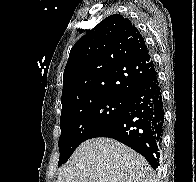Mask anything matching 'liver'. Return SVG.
<instances>
[{
	"instance_id": "6515ba94",
	"label": "liver",
	"mask_w": 196,
	"mask_h": 182,
	"mask_svg": "<svg viewBox=\"0 0 196 182\" xmlns=\"http://www.w3.org/2000/svg\"><path fill=\"white\" fill-rule=\"evenodd\" d=\"M56 182H156L148 162L109 138L83 142L62 168Z\"/></svg>"
}]
</instances>
